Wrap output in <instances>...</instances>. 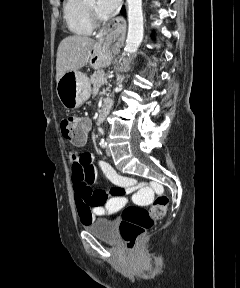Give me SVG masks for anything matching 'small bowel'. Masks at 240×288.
<instances>
[{
	"label": "small bowel",
	"mask_w": 240,
	"mask_h": 288,
	"mask_svg": "<svg viewBox=\"0 0 240 288\" xmlns=\"http://www.w3.org/2000/svg\"><path fill=\"white\" fill-rule=\"evenodd\" d=\"M85 142L86 138L73 142V144L76 147H82ZM98 169L116 185L109 192L91 188ZM71 170L77 211L81 222L85 225L99 216L118 212L128 201L126 195L134 192L139 187L133 179L118 174L107 162L102 160L95 162L89 151L72 153ZM142 194L151 196L152 191L144 189Z\"/></svg>",
	"instance_id": "c3829d8e"
}]
</instances>
